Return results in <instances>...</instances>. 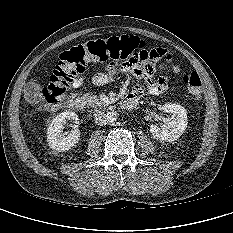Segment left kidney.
Wrapping results in <instances>:
<instances>
[{"label": "left kidney", "instance_id": "5707ae66", "mask_svg": "<svg viewBox=\"0 0 233 233\" xmlns=\"http://www.w3.org/2000/svg\"><path fill=\"white\" fill-rule=\"evenodd\" d=\"M161 110L170 113L171 116L163 118L164 124L157 126L152 124L150 132L160 141L172 142L177 140L187 128L188 118L186 109L178 104L166 103Z\"/></svg>", "mask_w": 233, "mask_h": 233}]
</instances>
